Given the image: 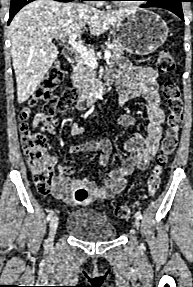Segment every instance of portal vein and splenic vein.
<instances>
[{
  "instance_id": "portal-vein-and-splenic-vein-1",
  "label": "portal vein and splenic vein",
  "mask_w": 193,
  "mask_h": 287,
  "mask_svg": "<svg viewBox=\"0 0 193 287\" xmlns=\"http://www.w3.org/2000/svg\"><path fill=\"white\" fill-rule=\"evenodd\" d=\"M78 36V31L74 32L69 36L68 44L80 54L85 63L92 68H96L98 66L96 58L92 55V53L81 43L76 42V38ZM111 56L110 51H106L104 54V59L108 60Z\"/></svg>"
}]
</instances>
